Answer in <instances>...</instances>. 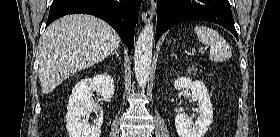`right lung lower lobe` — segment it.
Masks as SVG:
<instances>
[{"mask_svg":"<svg viewBox=\"0 0 280 137\" xmlns=\"http://www.w3.org/2000/svg\"><path fill=\"white\" fill-rule=\"evenodd\" d=\"M143 0H53L46 27L67 14H90L110 24L129 51L134 45V31Z\"/></svg>","mask_w":280,"mask_h":137,"instance_id":"98d812e1","label":"right lung lower lobe"}]
</instances>
